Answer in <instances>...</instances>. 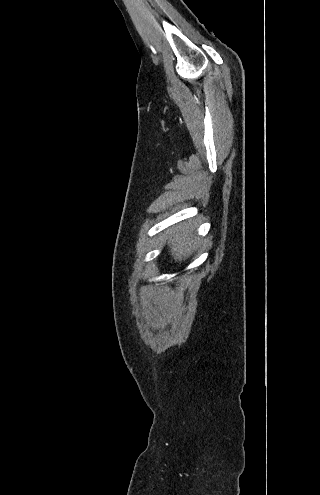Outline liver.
Wrapping results in <instances>:
<instances>
[{"instance_id": "6515ba94", "label": "liver", "mask_w": 320, "mask_h": 495, "mask_svg": "<svg viewBox=\"0 0 320 495\" xmlns=\"http://www.w3.org/2000/svg\"><path fill=\"white\" fill-rule=\"evenodd\" d=\"M195 228L187 224L176 227L168 236V247L171 255L177 262L189 258L199 243V237H195Z\"/></svg>"}]
</instances>
